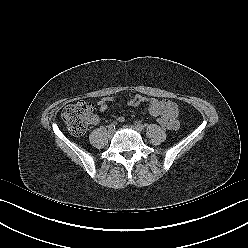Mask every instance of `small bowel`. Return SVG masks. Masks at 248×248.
Segmentation results:
<instances>
[{
	"mask_svg": "<svg viewBox=\"0 0 248 248\" xmlns=\"http://www.w3.org/2000/svg\"><path fill=\"white\" fill-rule=\"evenodd\" d=\"M115 99L114 96H106L98 101V106L101 112H105L108 108V103ZM127 104L134 107H139L142 104H146V111L154 117H164L168 120L170 129H176L179 125L177 120L178 107L169 100H157L154 98H147L143 95L130 96L127 99ZM119 121H123V117L118 118ZM93 124H97L99 119L97 116H93L91 119Z\"/></svg>",
	"mask_w": 248,
	"mask_h": 248,
	"instance_id": "c3829d8e",
	"label": "small bowel"
}]
</instances>
